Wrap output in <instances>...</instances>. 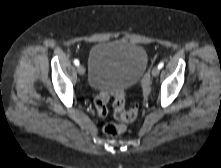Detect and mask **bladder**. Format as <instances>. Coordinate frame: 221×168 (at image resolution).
I'll return each mask as SVG.
<instances>
[{
    "label": "bladder",
    "mask_w": 221,
    "mask_h": 168,
    "mask_svg": "<svg viewBox=\"0 0 221 168\" xmlns=\"http://www.w3.org/2000/svg\"><path fill=\"white\" fill-rule=\"evenodd\" d=\"M148 55L139 44L124 40L100 42L89 53L88 81L97 90L126 89L146 71Z\"/></svg>",
    "instance_id": "obj_1"
}]
</instances>
